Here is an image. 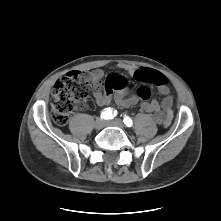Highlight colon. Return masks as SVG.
Returning <instances> with one entry per match:
<instances>
[{"label": "colon", "instance_id": "5ec220e1", "mask_svg": "<svg viewBox=\"0 0 221 221\" xmlns=\"http://www.w3.org/2000/svg\"><path fill=\"white\" fill-rule=\"evenodd\" d=\"M134 78L158 87L166 86L167 78L160 72L140 68L136 71ZM113 88L108 87L107 91L112 92ZM89 89L81 75L77 72H70L57 80L51 97V110L53 120L58 125H65L70 113L75 109L78 102L88 96ZM151 88L147 85L138 87L136 95L141 100H147L151 96Z\"/></svg>", "mask_w": 221, "mask_h": 221}]
</instances>
